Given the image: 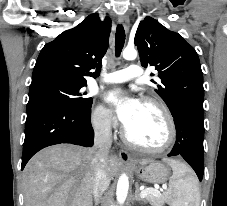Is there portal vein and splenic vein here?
Segmentation results:
<instances>
[{"mask_svg": "<svg viewBox=\"0 0 227 206\" xmlns=\"http://www.w3.org/2000/svg\"><path fill=\"white\" fill-rule=\"evenodd\" d=\"M163 189H167V185H163L162 186ZM148 194H153L155 196H160V191H158V189H153V188H149V189H143L141 191V197L145 198Z\"/></svg>", "mask_w": 227, "mask_h": 206, "instance_id": "18ae733b", "label": "portal vein and splenic vein"}]
</instances>
